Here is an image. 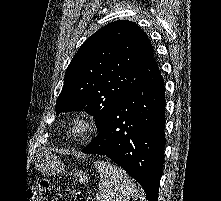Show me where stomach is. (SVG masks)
<instances>
[{"label": "stomach", "mask_w": 221, "mask_h": 201, "mask_svg": "<svg viewBox=\"0 0 221 201\" xmlns=\"http://www.w3.org/2000/svg\"><path fill=\"white\" fill-rule=\"evenodd\" d=\"M37 169L46 175H54L59 172L65 171V166L60 160L49 153H44L40 155L36 161ZM76 178L79 179V182L85 183L87 181V173L83 171H75L73 174Z\"/></svg>", "instance_id": "obj_1"}]
</instances>
